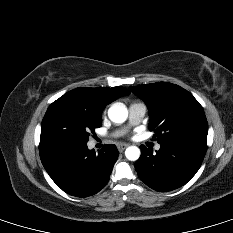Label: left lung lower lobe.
Instances as JSON below:
<instances>
[{
	"instance_id": "obj_1",
	"label": "left lung lower lobe",
	"mask_w": 233,
	"mask_h": 233,
	"mask_svg": "<svg viewBox=\"0 0 233 233\" xmlns=\"http://www.w3.org/2000/svg\"><path fill=\"white\" fill-rule=\"evenodd\" d=\"M160 145L156 154L141 145V156L135 163V169L147 186L167 192L185 185L196 174L204 159L207 143L183 140Z\"/></svg>"
}]
</instances>
